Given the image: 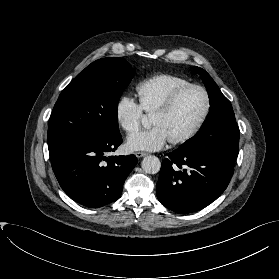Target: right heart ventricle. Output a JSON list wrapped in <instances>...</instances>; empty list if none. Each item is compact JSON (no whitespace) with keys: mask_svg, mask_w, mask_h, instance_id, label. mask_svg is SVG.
I'll return each mask as SVG.
<instances>
[{"mask_svg":"<svg viewBox=\"0 0 279 279\" xmlns=\"http://www.w3.org/2000/svg\"><path fill=\"white\" fill-rule=\"evenodd\" d=\"M190 83L186 78L161 73L151 76L136 87L139 105L146 114H153L164 103L169 94L176 88Z\"/></svg>","mask_w":279,"mask_h":279,"instance_id":"e07e8e85","label":"right heart ventricle"}]
</instances>
